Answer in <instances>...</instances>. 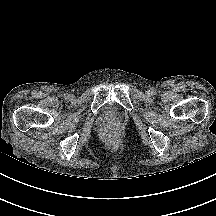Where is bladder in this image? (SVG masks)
<instances>
[{
    "label": "bladder",
    "mask_w": 216,
    "mask_h": 216,
    "mask_svg": "<svg viewBox=\"0 0 216 216\" xmlns=\"http://www.w3.org/2000/svg\"><path fill=\"white\" fill-rule=\"evenodd\" d=\"M107 121H114L118 118V113L115 109L108 107L103 115Z\"/></svg>",
    "instance_id": "31cf9c89"
}]
</instances>
